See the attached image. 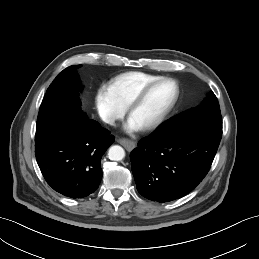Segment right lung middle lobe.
<instances>
[{"mask_svg":"<svg viewBox=\"0 0 259 259\" xmlns=\"http://www.w3.org/2000/svg\"><path fill=\"white\" fill-rule=\"evenodd\" d=\"M78 67L72 65L64 69L50 84L38 113L36 134L42 132L54 119L80 121L87 118L81 110L78 93L80 78L76 72Z\"/></svg>","mask_w":259,"mask_h":259,"instance_id":"right-lung-middle-lobe-1","label":"right lung middle lobe"}]
</instances>
